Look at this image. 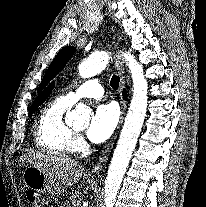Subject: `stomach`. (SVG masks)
<instances>
[{
    "instance_id": "obj_1",
    "label": "stomach",
    "mask_w": 206,
    "mask_h": 207,
    "mask_svg": "<svg viewBox=\"0 0 206 207\" xmlns=\"http://www.w3.org/2000/svg\"><path fill=\"white\" fill-rule=\"evenodd\" d=\"M22 180L31 190L44 192L49 195L61 193L60 186L45 173L33 165H28L22 172Z\"/></svg>"
}]
</instances>
